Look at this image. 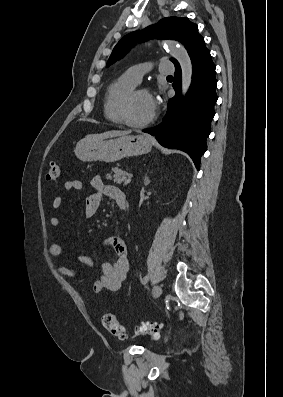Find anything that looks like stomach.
<instances>
[{"label":"stomach","mask_w":283,"mask_h":397,"mask_svg":"<svg viewBox=\"0 0 283 397\" xmlns=\"http://www.w3.org/2000/svg\"><path fill=\"white\" fill-rule=\"evenodd\" d=\"M151 139L146 135L122 136L110 140L83 139L74 150L76 157L83 162H116L130 156L149 153Z\"/></svg>","instance_id":"1"}]
</instances>
